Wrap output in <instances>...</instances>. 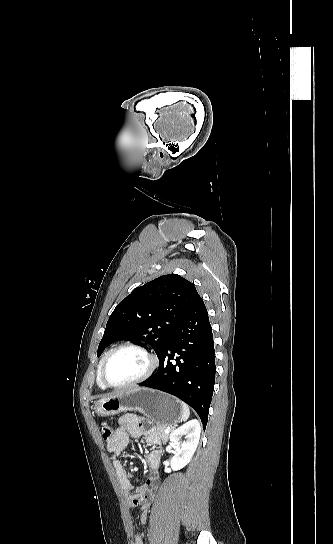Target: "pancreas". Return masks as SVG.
I'll list each match as a JSON object with an SVG mask.
<instances>
[{"instance_id":"cf45deb5","label":"pancreas","mask_w":333,"mask_h":544,"mask_svg":"<svg viewBox=\"0 0 333 544\" xmlns=\"http://www.w3.org/2000/svg\"><path fill=\"white\" fill-rule=\"evenodd\" d=\"M154 433L157 434L163 441H167L168 439V434L165 433V427L163 426H157L155 429H154Z\"/></svg>"}]
</instances>
